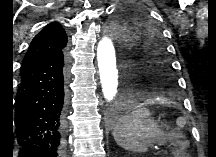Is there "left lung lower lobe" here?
<instances>
[{"instance_id":"1","label":"left lung lower lobe","mask_w":216,"mask_h":157,"mask_svg":"<svg viewBox=\"0 0 216 157\" xmlns=\"http://www.w3.org/2000/svg\"><path fill=\"white\" fill-rule=\"evenodd\" d=\"M113 118H114V119L119 118V114L115 112V113L113 114Z\"/></svg>"}]
</instances>
